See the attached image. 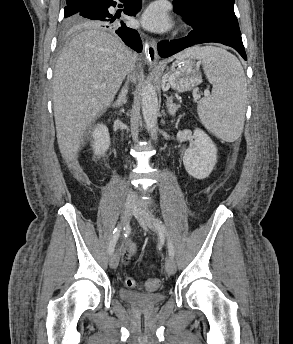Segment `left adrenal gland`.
<instances>
[{
    "label": "left adrenal gland",
    "mask_w": 293,
    "mask_h": 344,
    "mask_svg": "<svg viewBox=\"0 0 293 344\" xmlns=\"http://www.w3.org/2000/svg\"><path fill=\"white\" fill-rule=\"evenodd\" d=\"M166 106H167V109H168V113L171 116H175L177 110L180 108V105H177V104L173 103L172 96L167 99Z\"/></svg>",
    "instance_id": "1"
}]
</instances>
